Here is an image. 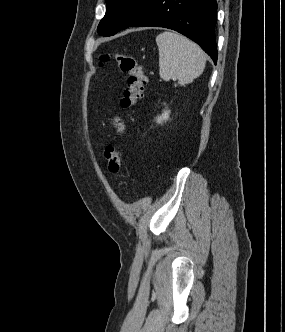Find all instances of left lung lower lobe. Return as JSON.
<instances>
[{
	"instance_id": "obj_1",
	"label": "left lung lower lobe",
	"mask_w": 285,
	"mask_h": 332,
	"mask_svg": "<svg viewBox=\"0 0 285 332\" xmlns=\"http://www.w3.org/2000/svg\"><path fill=\"white\" fill-rule=\"evenodd\" d=\"M216 0H154L128 27L156 26L175 30L196 42L217 62Z\"/></svg>"
}]
</instances>
